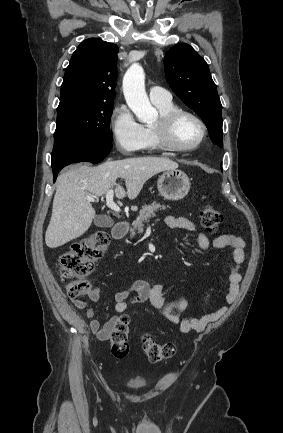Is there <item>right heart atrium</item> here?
<instances>
[{
	"label": "right heart atrium",
	"mask_w": 283,
	"mask_h": 433,
	"mask_svg": "<svg viewBox=\"0 0 283 433\" xmlns=\"http://www.w3.org/2000/svg\"><path fill=\"white\" fill-rule=\"evenodd\" d=\"M112 142L122 155H135L141 145H149L150 139L145 128L139 124L126 106L116 105L109 117Z\"/></svg>",
	"instance_id": "d8ad5b80"
}]
</instances>
